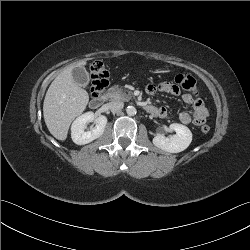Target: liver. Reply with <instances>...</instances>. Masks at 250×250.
I'll use <instances>...</instances> for the list:
<instances>
[{
  "label": "liver",
  "instance_id": "1",
  "mask_svg": "<svg viewBox=\"0 0 250 250\" xmlns=\"http://www.w3.org/2000/svg\"><path fill=\"white\" fill-rule=\"evenodd\" d=\"M80 61L64 69L51 83L43 103V115L49 132L58 140L67 138L71 122L85 109L89 101L86 90L78 85L72 75L75 67H83Z\"/></svg>",
  "mask_w": 250,
  "mask_h": 250
}]
</instances>
